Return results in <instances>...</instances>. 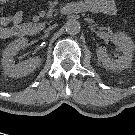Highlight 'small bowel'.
<instances>
[{"mask_svg": "<svg viewBox=\"0 0 135 135\" xmlns=\"http://www.w3.org/2000/svg\"><path fill=\"white\" fill-rule=\"evenodd\" d=\"M10 0H0L1 4H5ZM86 8L93 13H101L109 16L116 14L117 9L114 0H85ZM23 13L15 12L12 16L0 17V39H7L22 33L21 22Z\"/></svg>", "mask_w": 135, "mask_h": 135, "instance_id": "small-bowel-1", "label": "small bowel"}]
</instances>
